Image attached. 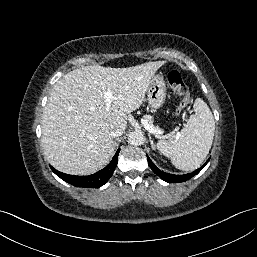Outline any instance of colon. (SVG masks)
Listing matches in <instances>:
<instances>
[{"mask_svg": "<svg viewBox=\"0 0 257 257\" xmlns=\"http://www.w3.org/2000/svg\"><path fill=\"white\" fill-rule=\"evenodd\" d=\"M167 81L170 91L181 99L177 109V112L180 113L190 102L188 88L177 70H172L168 73Z\"/></svg>", "mask_w": 257, "mask_h": 257, "instance_id": "5ec220e1", "label": "colon"}]
</instances>
